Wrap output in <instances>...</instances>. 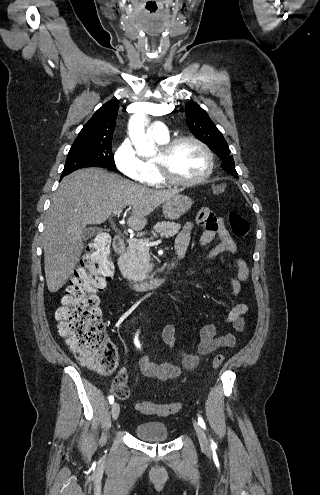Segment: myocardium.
<instances>
[{
    "instance_id": "1",
    "label": "myocardium",
    "mask_w": 320,
    "mask_h": 495,
    "mask_svg": "<svg viewBox=\"0 0 320 495\" xmlns=\"http://www.w3.org/2000/svg\"><path fill=\"white\" fill-rule=\"evenodd\" d=\"M184 142H192L196 144L203 151V153L207 158V162H208L207 170L202 176L198 178H194V179L179 178L176 175H174V173L171 171L170 157L174 152V150L176 149V147ZM154 164L156 166L159 176L165 182L179 186H195L204 183L211 177L215 167V160L212 151L204 142H202L197 137L186 135V136L173 138L167 141L166 143H164L161 146L158 157L154 160Z\"/></svg>"
}]
</instances>
